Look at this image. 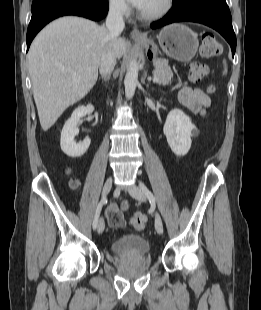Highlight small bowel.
Returning <instances> with one entry per match:
<instances>
[{"label": "small bowel", "instance_id": "1", "mask_svg": "<svg viewBox=\"0 0 261 310\" xmlns=\"http://www.w3.org/2000/svg\"><path fill=\"white\" fill-rule=\"evenodd\" d=\"M179 102L190 110L193 114L203 116L210 106L209 96L199 88L182 86L178 93ZM128 203L122 202L121 210H128Z\"/></svg>", "mask_w": 261, "mask_h": 310}]
</instances>
